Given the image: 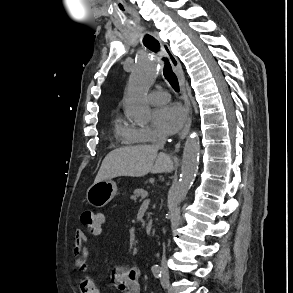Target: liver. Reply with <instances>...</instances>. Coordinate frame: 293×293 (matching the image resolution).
<instances>
[{
	"instance_id": "6515ba94",
	"label": "liver",
	"mask_w": 293,
	"mask_h": 293,
	"mask_svg": "<svg viewBox=\"0 0 293 293\" xmlns=\"http://www.w3.org/2000/svg\"><path fill=\"white\" fill-rule=\"evenodd\" d=\"M173 170L171 158L154 145L123 147L111 151L103 160L94 183L120 176L142 177Z\"/></svg>"
}]
</instances>
